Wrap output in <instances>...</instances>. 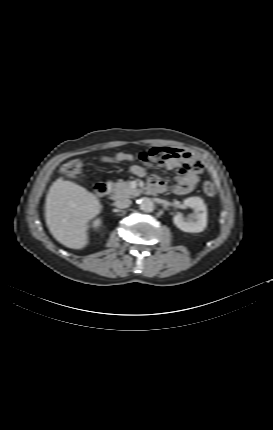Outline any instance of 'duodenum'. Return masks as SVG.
Masks as SVG:
<instances>
[{
	"mask_svg": "<svg viewBox=\"0 0 273 430\" xmlns=\"http://www.w3.org/2000/svg\"><path fill=\"white\" fill-rule=\"evenodd\" d=\"M95 191L99 197H104L109 194L110 186L106 182H99L95 186Z\"/></svg>",
	"mask_w": 273,
	"mask_h": 430,
	"instance_id": "1",
	"label": "duodenum"
}]
</instances>
